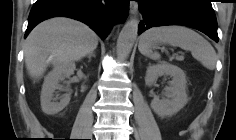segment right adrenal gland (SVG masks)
I'll return each mask as SVG.
<instances>
[{
  "label": "right adrenal gland",
  "instance_id": "obj_1",
  "mask_svg": "<svg viewBox=\"0 0 236 140\" xmlns=\"http://www.w3.org/2000/svg\"><path fill=\"white\" fill-rule=\"evenodd\" d=\"M91 57H95V54H94V53H90V54L88 55L89 61H91Z\"/></svg>",
  "mask_w": 236,
  "mask_h": 140
}]
</instances>
